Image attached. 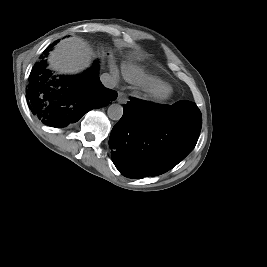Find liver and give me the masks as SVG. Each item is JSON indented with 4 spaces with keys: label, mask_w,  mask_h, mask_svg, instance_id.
I'll list each match as a JSON object with an SVG mask.
<instances>
[{
    "label": "liver",
    "mask_w": 267,
    "mask_h": 267,
    "mask_svg": "<svg viewBox=\"0 0 267 267\" xmlns=\"http://www.w3.org/2000/svg\"><path fill=\"white\" fill-rule=\"evenodd\" d=\"M93 51L83 39L69 37L61 40L48 58L50 68L63 74H74L86 69Z\"/></svg>",
    "instance_id": "6515ba94"
}]
</instances>
